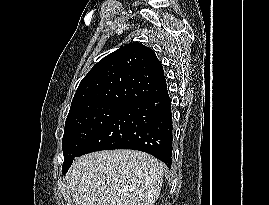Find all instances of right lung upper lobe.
<instances>
[{
    "label": "right lung upper lobe",
    "instance_id": "right-lung-upper-lobe-1",
    "mask_svg": "<svg viewBox=\"0 0 269 205\" xmlns=\"http://www.w3.org/2000/svg\"><path fill=\"white\" fill-rule=\"evenodd\" d=\"M166 89L163 67L154 51L133 42L93 66L80 82L69 112L101 103L130 106Z\"/></svg>",
    "mask_w": 269,
    "mask_h": 205
}]
</instances>
